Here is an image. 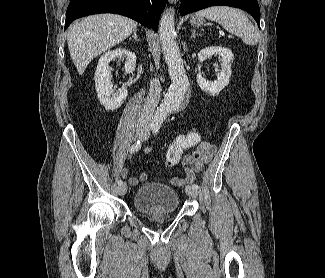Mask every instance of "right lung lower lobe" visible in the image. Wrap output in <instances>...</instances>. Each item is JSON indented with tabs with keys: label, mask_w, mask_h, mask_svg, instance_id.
Wrapping results in <instances>:
<instances>
[{
	"label": "right lung lower lobe",
	"mask_w": 325,
	"mask_h": 278,
	"mask_svg": "<svg viewBox=\"0 0 325 278\" xmlns=\"http://www.w3.org/2000/svg\"><path fill=\"white\" fill-rule=\"evenodd\" d=\"M165 6L166 0H71L66 12L64 30L77 18L98 13H115L157 31L160 14Z\"/></svg>",
	"instance_id": "right-lung-lower-lobe-1"
}]
</instances>
